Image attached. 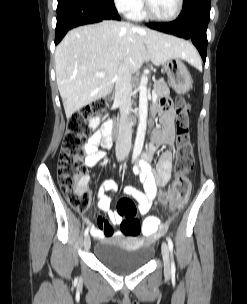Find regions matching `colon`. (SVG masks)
<instances>
[{
  "instance_id": "colon-1",
  "label": "colon",
  "mask_w": 247,
  "mask_h": 304,
  "mask_svg": "<svg viewBox=\"0 0 247 304\" xmlns=\"http://www.w3.org/2000/svg\"><path fill=\"white\" fill-rule=\"evenodd\" d=\"M176 179L172 189L161 194L163 202L171 207L182 205L189 190L188 173L194 166V152L189 130V106L183 97L176 100ZM106 103L98 101L90 108L73 113L67 122V131L58 159V183L69 205L78 212H84L89 205L86 186V166L83 149L89 133L88 124L94 116H106ZM117 214L122 218L121 232L126 236L153 238L161 229L159 221L150 217L141 226L136 217V206L129 198H121Z\"/></svg>"
}]
</instances>
